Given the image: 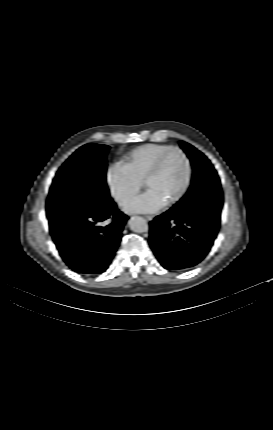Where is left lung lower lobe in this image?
<instances>
[{"mask_svg":"<svg viewBox=\"0 0 273 430\" xmlns=\"http://www.w3.org/2000/svg\"><path fill=\"white\" fill-rule=\"evenodd\" d=\"M221 188L206 186L185 194L150 222L149 244L168 270L189 269L208 254L220 226Z\"/></svg>","mask_w":273,"mask_h":430,"instance_id":"obj_1","label":"left lung lower lobe"}]
</instances>
